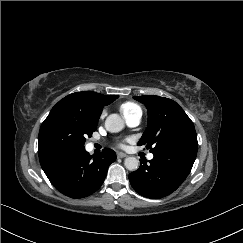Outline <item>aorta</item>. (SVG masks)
I'll list each match as a JSON object with an SVG mask.
<instances>
[{
	"mask_svg": "<svg viewBox=\"0 0 243 243\" xmlns=\"http://www.w3.org/2000/svg\"><path fill=\"white\" fill-rule=\"evenodd\" d=\"M105 128L111 133H117L124 128V121L118 114H110L105 120ZM124 165L128 170L135 171L139 167V160L136 157H127Z\"/></svg>",
	"mask_w": 243,
	"mask_h": 243,
	"instance_id": "762f6f07",
	"label": "aorta"
}]
</instances>
